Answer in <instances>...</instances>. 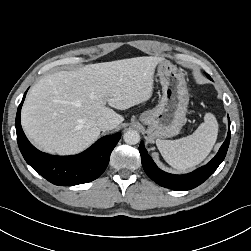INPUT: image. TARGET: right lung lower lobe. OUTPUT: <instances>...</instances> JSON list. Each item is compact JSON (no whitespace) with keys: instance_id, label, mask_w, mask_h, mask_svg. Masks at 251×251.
Wrapping results in <instances>:
<instances>
[{"instance_id":"98d812e1","label":"right lung lower lobe","mask_w":251,"mask_h":251,"mask_svg":"<svg viewBox=\"0 0 251 251\" xmlns=\"http://www.w3.org/2000/svg\"><path fill=\"white\" fill-rule=\"evenodd\" d=\"M26 92L16 114L19 149L26 162L42 177L59 186H73L98 178L106 169L112 150L121 135L99 139L86 151L74 156H54L37 150L26 138L20 123V112Z\"/></svg>"}]
</instances>
